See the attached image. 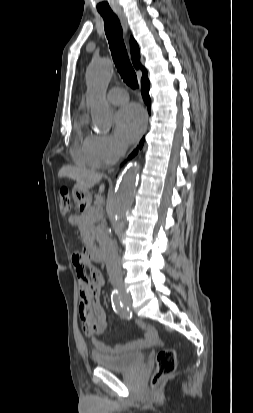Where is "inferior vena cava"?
Returning <instances> with one entry per match:
<instances>
[{"mask_svg":"<svg viewBox=\"0 0 253 413\" xmlns=\"http://www.w3.org/2000/svg\"><path fill=\"white\" fill-rule=\"evenodd\" d=\"M124 153L125 149L122 150V154ZM98 242L105 256L106 268L112 286L119 291L124 290L122 271L115 242L105 232L99 234Z\"/></svg>","mask_w":253,"mask_h":413,"instance_id":"inferior-vena-cava-1","label":"inferior vena cava"}]
</instances>
